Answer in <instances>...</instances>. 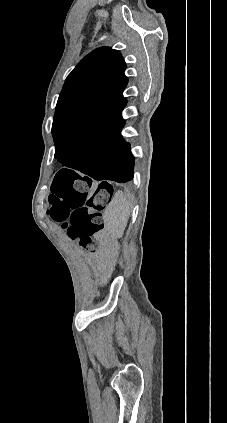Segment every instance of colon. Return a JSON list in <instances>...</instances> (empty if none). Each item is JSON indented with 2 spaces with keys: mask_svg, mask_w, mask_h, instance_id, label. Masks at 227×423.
Listing matches in <instances>:
<instances>
[{
  "mask_svg": "<svg viewBox=\"0 0 227 423\" xmlns=\"http://www.w3.org/2000/svg\"><path fill=\"white\" fill-rule=\"evenodd\" d=\"M112 196V187L105 182L95 187L90 180L68 171L59 172L52 184L50 217L64 223L67 234L88 249L94 248L92 237L103 226L101 215Z\"/></svg>",
  "mask_w": 227,
  "mask_h": 423,
  "instance_id": "5ec220e1",
  "label": "colon"
}]
</instances>
